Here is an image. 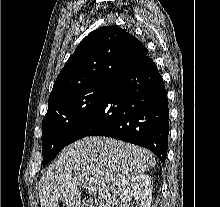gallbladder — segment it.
<instances>
[{"label": "gallbladder", "instance_id": "obj_1", "mask_svg": "<svg viewBox=\"0 0 220 207\" xmlns=\"http://www.w3.org/2000/svg\"><path fill=\"white\" fill-rule=\"evenodd\" d=\"M85 205H86V207H93V206H92V202L89 201V200H87V201L85 202Z\"/></svg>", "mask_w": 220, "mask_h": 207}]
</instances>
